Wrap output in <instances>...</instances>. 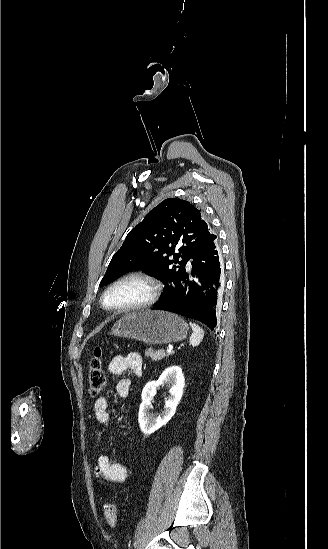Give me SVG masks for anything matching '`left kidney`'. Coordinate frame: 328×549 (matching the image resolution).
Listing matches in <instances>:
<instances>
[{"mask_svg": "<svg viewBox=\"0 0 328 549\" xmlns=\"http://www.w3.org/2000/svg\"><path fill=\"white\" fill-rule=\"evenodd\" d=\"M165 383L170 387V397L165 403L164 411L158 417H150L149 409H151V401L154 395H156V387L165 385ZM184 385L182 369L177 367V365L165 369L158 381H150V383L145 385L138 413L140 429L144 435H151V433H154V431H157V429H160V427H163V425H166L172 419L173 415H175L176 407L181 401Z\"/></svg>", "mask_w": 328, "mask_h": 549, "instance_id": "5707ae66", "label": "left kidney"}]
</instances>
